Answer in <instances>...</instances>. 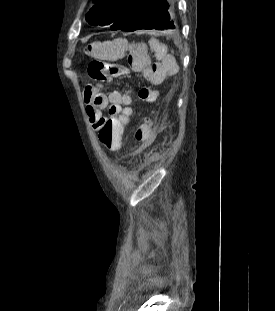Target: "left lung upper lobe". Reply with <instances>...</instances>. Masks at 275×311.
Returning a JSON list of instances; mask_svg holds the SVG:
<instances>
[{"mask_svg":"<svg viewBox=\"0 0 275 311\" xmlns=\"http://www.w3.org/2000/svg\"><path fill=\"white\" fill-rule=\"evenodd\" d=\"M145 0H94L95 5L86 15L92 25H109L113 31L121 30Z\"/></svg>","mask_w":275,"mask_h":311,"instance_id":"1","label":"left lung upper lobe"}]
</instances>
